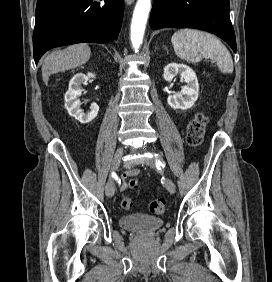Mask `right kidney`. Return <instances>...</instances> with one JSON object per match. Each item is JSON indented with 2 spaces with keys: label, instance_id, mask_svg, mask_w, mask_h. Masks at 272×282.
Wrapping results in <instances>:
<instances>
[{
  "label": "right kidney",
  "instance_id": "ca27d5eb",
  "mask_svg": "<svg viewBox=\"0 0 272 282\" xmlns=\"http://www.w3.org/2000/svg\"><path fill=\"white\" fill-rule=\"evenodd\" d=\"M90 78H95V75L92 73H88L87 75L77 73L70 80L68 91L65 94V107L69 115L82 124L89 123L95 119L99 111V106L96 103L91 104L90 111L87 114L80 109L81 104L78 96L82 92L81 86L86 85Z\"/></svg>",
  "mask_w": 272,
  "mask_h": 282
}]
</instances>
